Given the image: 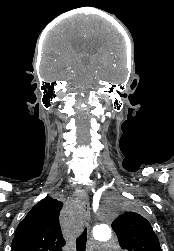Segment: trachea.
Instances as JSON below:
<instances>
[{
  "label": "trachea",
  "mask_w": 174,
  "mask_h": 251,
  "mask_svg": "<svg viewBox=\"0 0 174 251\" xmlns=\"http://www.w3.org/2000/svg\"><path fill=\"white\" fill-rule=\"evenodd\" d=\"M87 242V229L85 228L76 240L77 251H85Z\"/></svg>",
  "instance_id": "trachea-1"
}]
</instances>
